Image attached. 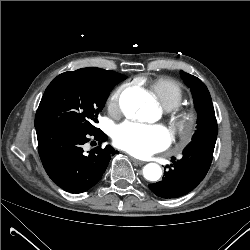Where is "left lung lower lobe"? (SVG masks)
<instances>
[{
	"instance_id": "left-lung-lower-lobe-1",
	"label": "left lung lower lobe",
	"mask_w": 250,
	"mask_h": 250,
	"mask_svg": "<svg viewBox=\"0 0 250 250\" xmlns=\"http://www.w3.org/2000/svg\"><path fill=\"white\" fill-rule=\"evenodd\" d=\"M216 138L211 135L193 140L184 149L182 159L164 172L163 179L149 185L151 191L162 198H175L195 188L210 168Z\"/></svg>"
}]
</instances>
